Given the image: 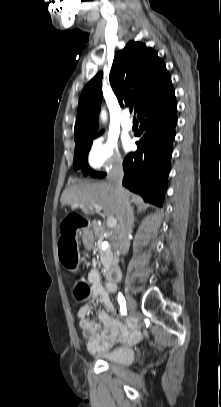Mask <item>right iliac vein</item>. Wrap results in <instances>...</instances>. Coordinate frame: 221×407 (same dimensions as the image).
I'll use <instances>...</instances> for the list:
<instances>
[{
  "label": "right iliac vein",
  "instance_id": "63e3f726",
  "mask_svg": "<svg viewBox=\"0 0 221 407\" xmlns=\"http://www.w3.org/2000/svg\"><path fill=\"white\" fill-rule=\"evenodd\" d=\"M126 301L129 312H134L136 308V301L128 293H126Z\"/></svg>",
  "mask_w": 221,
  "mask_h": 407
}]
</instances>
